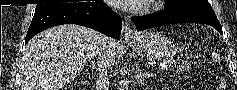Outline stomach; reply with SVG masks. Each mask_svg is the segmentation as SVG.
Listing matches in <instances>:
<instances>
[{
  "label": "stomach",
  "instance_id": "0dacf381",
  "mask_svg": "<svg viewBox=\"0 0 237 90\" xmlns=\"http://www.w3.org/2000/svg\"><path fill=\"white\" fill-rule=\"evenodd\" d=\"M128 44L139 55L151 59H170L177 53L171 41L154 31L143 32Z\"/></svg>",
  "mask_w": 237,
  "mask_h": 90
}]
</instances>
